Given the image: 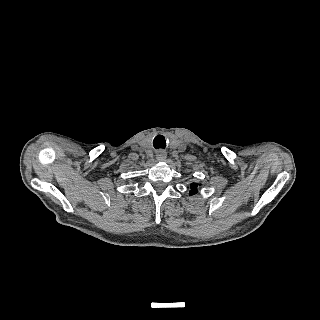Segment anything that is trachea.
Listing matches in <instances>:
<instances>
[{
    "label": "trachea",
    "mask_w": 320,
    "mask_h": 320,
    "mask_svg": "<svg viewBox=\"0 0 320 320\" xmlns=\"http://www.w3.org/2000/svg\"><path fill=\"white\" fill-rule=\"evenodd\" d=\"M153 146L155 149H164L166 147L165 137L162 135H157L153 140Z\"/></svg>",
    "instance_id": "obj_1"
}]
</instances>
